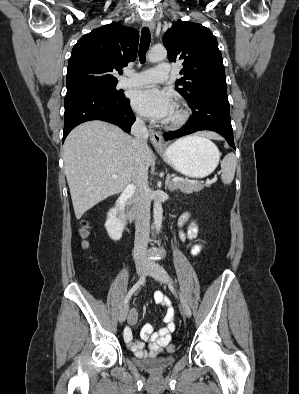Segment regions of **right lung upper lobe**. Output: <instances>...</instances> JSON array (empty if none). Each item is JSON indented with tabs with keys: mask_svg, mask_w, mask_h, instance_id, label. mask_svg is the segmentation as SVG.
<instances>
[{
	"mask_svg": "<svg viewBox=\"0 0 299 394\" xmlns=\"http://www.w3.org/2000/svg\"><path fill=\"white\" fill-rule=\"evenodd\" d=\"M139 33L119 23L92 30L74 45L67 70V89L89 83L117 82L112 75L136 58Z\"/></svg>",
	"mask_w": 299,
	"mask_h": 394,
	"instance_id": "1",
	"label": "right lung upper lobe"
}]
</instances>
